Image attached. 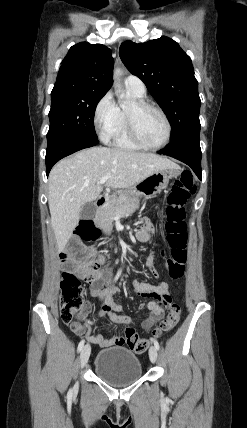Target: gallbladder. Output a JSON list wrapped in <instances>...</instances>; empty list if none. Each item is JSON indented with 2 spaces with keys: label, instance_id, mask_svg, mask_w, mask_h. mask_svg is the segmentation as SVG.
Wrapping results in <instances>:
<instances>
[{
  "label": "gallbladder",
  "instance_id": "gallbladder-1",
  "mask_svg": "<svg viewBox=\"0 0 247 428\" xmlns=\"http://www.w3.org/2000/svg\"><path fill=\"white\" fill-rule=\"evenodd\" d=\"M96 206L92 202H87L82 206L80 218L83 220L91 219L96 214Z\"/></svg>",
  "mask_w": 247,
  "mask_h": 428
}]
</instances>
